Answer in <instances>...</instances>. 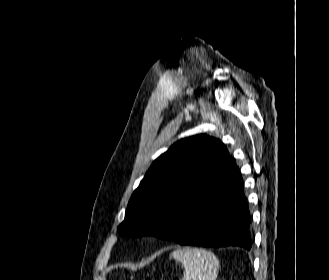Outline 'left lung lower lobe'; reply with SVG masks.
Masks as SVG:
<instances>
[{
    "label": "left lung lower lobe",
    "mask_w": 329,
    "mask_h": 280,
    "mask_svg": "<svg viewBox=\"0 0 329 280\" xmlns=\"http://www.w3.org/2000/svg\"><path fill=\"white\" fill-rule=\"evenodd\" d=\"M243 186L239 168L233 161L219 189L202 195L181 221L161 233V238L181 245L237 246L250 250L251 218Z\"/></svg>",
    "instance_id": "1"
}]
</instances>
